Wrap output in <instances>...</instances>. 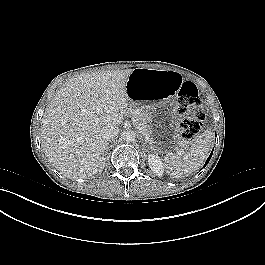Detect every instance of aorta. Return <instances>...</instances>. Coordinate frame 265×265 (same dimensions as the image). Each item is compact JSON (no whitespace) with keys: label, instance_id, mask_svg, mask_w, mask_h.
<instances>
[{"label":"aorta","instance_id":"762f6f07","mask_svg":"<svg viewBox=\"0 0 265 265\" xmlns=\"http://www.w3.org/2000/svg\"><path fill=\"white\" fill-rule=\"evenodd\" d=\"M121 137L123 140H125L126 142H132L135 140L136 138V134L133 130H127V131H124L122 134H121Z\"/></svg>","mask_w":265,"mask_h":265}]
</instances>
